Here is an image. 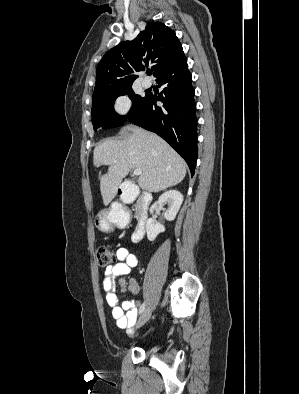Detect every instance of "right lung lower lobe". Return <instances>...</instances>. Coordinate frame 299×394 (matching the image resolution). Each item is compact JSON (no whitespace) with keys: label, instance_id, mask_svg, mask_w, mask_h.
I'll return each mask as SVG.
<instances>
[{"label":"right lung lower lobe","instance_id":"1","mask_svg":"<svg viewBox=\"0 0 299 394\" xmlns=\"http://www.w3.org/2000/svg\"><path fill=\"white\" fill-rule=\"evenodd\" d=\"M156 78L158 86L163 87L162 93L146 94L144 102L127 119L165 139L185 159L193 176L197 161V119L185 55ZM157 101L163 105L157 106Z\"/></svg>","mask_w":299,"mask_h":394}]
</instances>
